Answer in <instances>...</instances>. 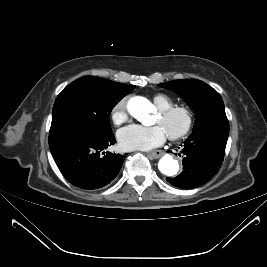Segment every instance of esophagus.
Masks as SVG:
<instances>
[{
	"instance_id": "esophagus-1",
	"label": "esophagus",
	"mask_w": 267,
	"mask_h": 267,
	"mask_svg": "<svg viewBox=\"0 0 267 267\" xmlns=\"http://www.w3.org/2000/svg\"><path fill=\"white\" fill-rule=\"evenodd\" d=\"M163 154L164 152L162 150H156L149 153V155L155 159L160 158Z\"/></svg>"
}]
</instances>
